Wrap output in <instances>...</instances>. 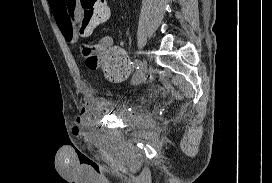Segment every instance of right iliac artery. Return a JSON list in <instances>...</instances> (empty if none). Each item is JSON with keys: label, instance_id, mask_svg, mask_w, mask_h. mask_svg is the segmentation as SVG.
Listing matches in <instances>:
<instances>
[{"label": "right iliac artery", "instance_id": "right-iliac-artery-1", "mask_svg": "<svg viewBox=\"0 0 272 183\" xmlns=\"http://www.w3.org/2000/svg\"><path fill=\"white\" fill-rule=\"evenodd\" d=\"M142 62L140 60H134L133 62V67L134 68H139V70H135L134 71V74H133V77L131 78L133 81L136 79V78H139L140 75L142 74V71L140 70V66H141Z\"/></svg>", "mask_w": 272, "mask_h": 183}]
</instances>
